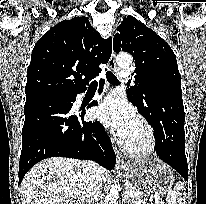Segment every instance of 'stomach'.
Returning <instances> with one entry per match:
<instances>
[{
	"mask_svg": "<svg viewBox=\"0 0 206 204\" xmlns=\"http://www.w3.org/2000/svg\"><path fill=\"white\" fill-rule=\"evenodd\" d=\"M124 172L129 188L142 198L160 197L171 188L174 180L170 167L157 159L131 161Z\"/></svg>",
	"mask_w": 206,
	"mask_h": 204,
	"instance_id": "stomach-1",
	"label": "stomach"
}]
</instances>
